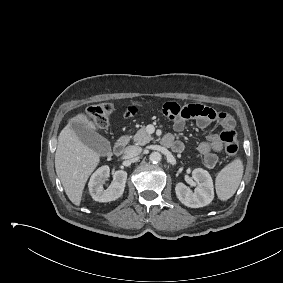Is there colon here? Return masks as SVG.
<instances>
[{"label": "colon", "mask_w": 283, "mask_h": 283, "mask_svg": "<svg viewBox=\"0 0 283 283\" xmlns=\"http://www.w3.org/2000/svg\"><path fill=\"white\" fill-rule=\"evenodd\" d=\"M114 111V105L109 103L97 104L88 108L90 118L100 128H106L109 118ZM220 140L223 142L226 153L229 156H235L239 150V142L236 132L233 129H226L221 132Z\"/></svg>", "instance_id": "colon-1"}]
</instances>
